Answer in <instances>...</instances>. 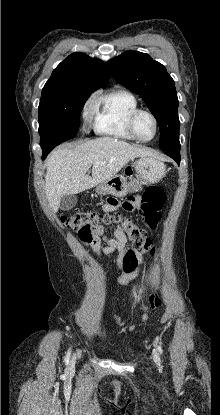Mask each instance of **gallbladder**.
Returning <instances> with one entry per match:
<instances>
[{
  "label": "gallbladder",
  "instance_id": "bac80fb5",
  "mask_svg": "<svg viewBox=\"0 0 220 415\" xmlns=\"http://www.w3.org/2000/svg\"><path fill=\"white\" fill-rule=\"evenodd\" d=\"M77 203V197L75 195H64L60 199V209L68 211L72 209Z\"/></svg>",
  "mask_w": 220,
  "mask_h": 415
}]
</instances>
